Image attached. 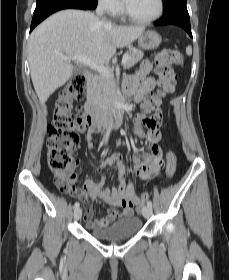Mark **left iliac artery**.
Returning a JSON list of instances; mask_svg holds the SVG:
<instances>
[{
  "label": "left iliac artery",
  "instance_id": "1",
  "mask_svg": "<svg viewBox=\"0 0 229 280\" xmlns=\"http://www.w3.org/2000/svg\"><path fill=\"white\" fill-rule=\"evenodd\" d=\"M147 205L150 206V207H152V202H151V201H148V202H147Z\"/></svg>",
  "mask_w": 229,
  "mask_h": 280
}]
</instances>
